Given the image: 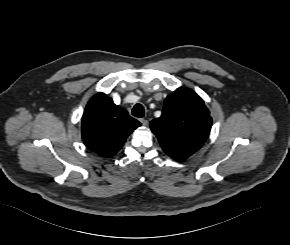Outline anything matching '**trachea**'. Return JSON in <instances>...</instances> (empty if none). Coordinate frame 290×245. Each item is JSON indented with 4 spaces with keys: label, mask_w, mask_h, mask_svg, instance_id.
<instances>
[{
    "label": "trachea",
    "mask_w": 290,
    "mask_h": 245,
    "mask_svg": "<svg viewBox=\"0 0 290 245\" xmlns=\"http://www.w3.org/2000/svg\"><path fill=\"white\" fill-rule=\"evenodd\" d=\"M132 114L135 117H139V118L143 117L144 116V107L139 103L136 104L134 106V108L132 109Z\"/></svg>",
    "instance_id": "1"
}]
</instances>
